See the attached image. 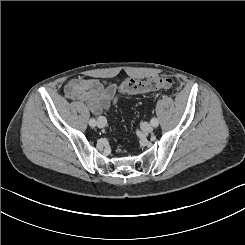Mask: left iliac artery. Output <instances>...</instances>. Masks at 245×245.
Listing matches in <instances>:
<instances>
[{"label":"left iliac artery","mask_w":245,"mask_h":245,"mask_svg":"<svg viewBox=\"0 0 245 245\" xmlns=\"http://www.w3.org/2000/svg\"><path fill=\"white\" fill-rule=\"evenodd\" d=\"M151 124L153 125V127H157L158 124H159L157 118H152V119H151Z\"/></svg>","instance_id":"left-iliac-artery-1"}]
</instances>
